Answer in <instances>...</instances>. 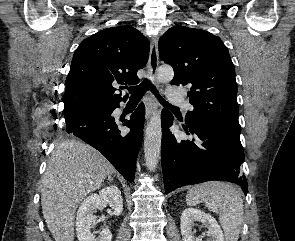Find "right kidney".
Masks as SVG:
<instances>
[{"instance_id": "right-kidney-1", "label": "right kidney", "mask_w": 295, "mask_h": 241, "mask_svg": "<svg viewBox=\"0 0 295 241\" xmlns=\"http://www.w3.org/2000/svg\"><path fill=\"white\" fill-rule=\"evenodd\" d=\"M109 205L113 215L119 216L123 211V200L121 191L117 186H108L99 191L98 194H91L79 206L76 217V231L79 241H111L112 233L105 227L96 237L91 233L92 224L95 222L94 213Z\"/></svg>"}]
</instances>
